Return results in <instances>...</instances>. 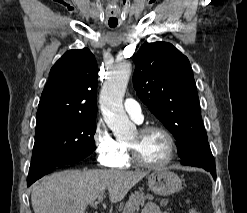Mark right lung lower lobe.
<instances>
[{
  "label": "right lung lower lobe",
  "mask_w": 247,
  "mask_h": 213,
  "mask_svg": "<svg viewBox=\"0 0 247 213\" xmlns=\"http://www.w3.org/2000/svg\"><path fill=\"white\" fill-rule=\"evenodd\" d=\"M71 163H63V164H55V165H52L48 168V171L47 173H50L51 171H53L55 168H59V167H63V166H66V165H69ZM46 173V174H47ZM45 175V174H44ZM43 176V175H42ZM41 176V177H42ZM41 177H29L27 178V185L30 186L32 183H34L37 179L41 178Z\"/></svg>",
  "instance_id": "98d812e1"
}]
</instances>
